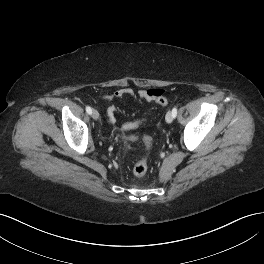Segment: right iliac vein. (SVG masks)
<instances>
[{
    "label": "right iliac vein",
    "instance_id": "63e3f726",
    "mask_svg": "<svg viewBox=\"0 0 264 264\" xmlns=\"http://www.w3.org/2000/svg\"><path fill=\"white\" fill-rule=\"evenodd\" d=\"M91 115H92L94 120H98L99 119V113H98L97 110L93 109Z\"/></svg>",
    "mask_w": 264,
    "mask_h": 264
}]
</instances>
